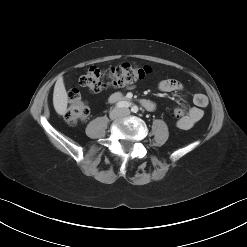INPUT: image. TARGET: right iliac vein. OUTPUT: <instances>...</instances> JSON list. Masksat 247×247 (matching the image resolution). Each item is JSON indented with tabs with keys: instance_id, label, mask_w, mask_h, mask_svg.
Wrapping results in <instances>:
<instances>
[{
	"instance_id": "right-iliac-vein-1",
	"label": "right iliac vein",
	"mask_w": 247,
	"mask_h": 247,
	"mask_svg": "<svg viewBox=\"0 0 247 247\" xmlns=\"http://www.w3.org/2000/svg\"><path fill=\"white\" fill-rule=\"evenodd\" d=\"M121 115L120 111L114 110L110 113V118L112 120L117 119Z\"/></svg>"
}]
</instances>
